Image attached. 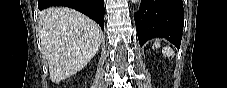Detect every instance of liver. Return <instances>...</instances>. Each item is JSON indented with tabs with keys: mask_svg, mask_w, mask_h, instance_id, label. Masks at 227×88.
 Segmentation results:
<instances>
[{
	"mask_svg": "<svg viewBox=\"0 0 227 88\" xmlns=\"http://www.w3.org/2000/svg\"><path fill=\"white\" fill-rule=\"evenodd\" d=\"M43 57L54 83L76 74L97 53L100 27L82 13L67 7H50L39 14Z\"/></svg>",
	"mask_w": 227,
	"mask_h": 88,
	"instance_id": "obj_1",
	"label": "liver"
}]
</instances>
